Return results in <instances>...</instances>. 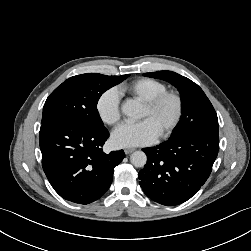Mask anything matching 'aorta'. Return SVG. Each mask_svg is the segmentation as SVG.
Here are the masks:
<instances>
[{"instance_id": "762f6f07", "label": "aorta", "mask_w": 251, "mask_h": 251, "mask_svg": "<svg viewBox=\"0 0 251 251\" xmlns=\"http://www.w3.org/2000/svg\"><path fill=\"white\" fill-rule=\"evenodd\" d=\"M121 110L128 117L138 118L140 115V106L134 100L124 102ZM130 161L135 167H143L147 162V156L143 151H135L131 154Z\"/></svg>"}]
</instances>
